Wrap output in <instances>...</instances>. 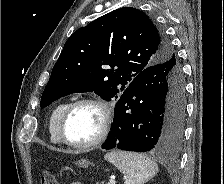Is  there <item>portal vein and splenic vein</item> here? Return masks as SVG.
Masks as SVG:
<instances>
[{
	"instance_id": "obj_1",
	"label": "portal vein and splenic vein",
	"mask_w": 224,
	"mask_h": 184,
	"mask_svg": "<svg viewBox=\"0 0 224 184\" xmlns=\"http://www.w3.org/2000/svg\"><path fill=\"white\" fill-rule=\"evenodd\" d=\"M108 184H115V180L114 179H110Z\"/></svg>"
}]
</instances>
